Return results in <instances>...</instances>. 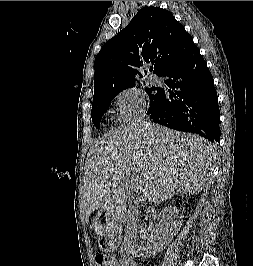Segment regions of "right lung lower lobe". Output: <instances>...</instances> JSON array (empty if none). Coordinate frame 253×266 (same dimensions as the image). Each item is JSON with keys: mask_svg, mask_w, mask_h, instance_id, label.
<instances>
[{"mask_svg": "<svg viewBox=\"0 0 253 266\" xmlns=\"http://www.w3.org/2000/svg\"><path fill=\"white\" fill-rule=\"evenodd\" d=\"M165 83L175 92L160 89L159 100L148 110L154 122L171 129L220 140V111L213 77L196 48L167 71Z\"/></svg>", "mask_w": 253, "mask_h": 266, "instance_id": "98d812e1", "label": "right lung lower lobe"}]
</instances>
